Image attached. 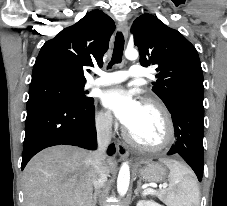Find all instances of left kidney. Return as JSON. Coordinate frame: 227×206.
I'll list each match as a JSON object with an SVG mask.
<instances>
[{"mask_svg":"<svg viewBox=\"0 0 227 206\" xmlns=\"http://www.w3.org/2000/svg\"><path fill=\"white\" fill-rule=\"evenodd\" d=\"M136 206H162L154 201L140 200L137 202Z\"/></svg>","mask_w":227,"mask_h":206,"instance_id":"5707ae66","label":"left kidney"}]
</instances>
